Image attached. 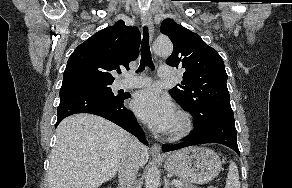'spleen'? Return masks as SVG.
<instances>
[{
    "label": "spleen",
    "mask_w": 292,
    "mask_h": 188,
    "mask_svg": "<svg viewBox=\"0 0 292 188\" xmlns=\"http://www.w3.org/2000/svg\"><path fill=\"white\" fill-rule=\"evenodd\" d=\"M225 188H240L238 168L233 161H230Z\"/></svg>",
    "instance_id": "1"
}]
</instances>
